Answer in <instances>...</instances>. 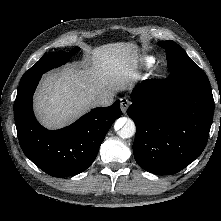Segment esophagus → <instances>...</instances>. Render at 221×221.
I'll list each match as a JSON object with an SVG mask.
<instances>
[{
  "label": "esophagus",
  "mask_w": 221,
  "mask_h": 221,
  "mask_svg": "<svg viewBox=\"0 0 221 221\" xmlns=\"http://www.w3.org/2000/svg\"><path fill=\"white\" fill-rule=\"evenodd\" d=\"M131 104V102L129 101V99L123 97L120 99V106H121V111L125 114L127 112V109L129 107V105Z\"/></svg>",
  "instance_id": "1"
}]
</instances>
